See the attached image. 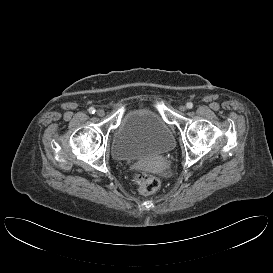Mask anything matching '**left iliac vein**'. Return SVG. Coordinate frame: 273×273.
Segmentation results:
<instances>
[{
  "label": "left iliac vein",
  "mask_w": 273,
  "mask_h": 273,
  "mask_svg": "<svg viewBox=\"0 0 273 273\" xmlns=\"http://www.w3.org/2000/svg\"><path fill=\"white\" fill-rule=\"evenodd\" d=\"M179 110L182 111V112H184V111L186 110V106L181 105V106L179 107Z\"/></svg>",
  "instance_id": "1"
}]
</instances>
